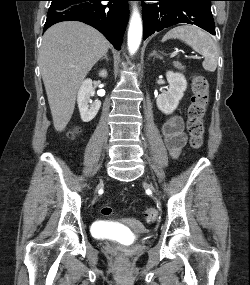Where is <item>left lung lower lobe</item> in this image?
Instances as JSON below:
<instances>
[{"label": "left lung lower lobe", "mask_w": 250, "mask_h": 285, "mask_svg": "<svg viewBox=\"0 0 250 285\" xmlns=\"http://www.w3.org/2000/svg\"><path fill=\"white\" fill-rule=\"evenodd\" d=\"M142 1L144 40L154 32L178 23L201 27L215 35L211 2L205 0H140ZM144 1H158L146 4Z\"/></svg>", "instance_id": "obj_1"}]
</instances>
